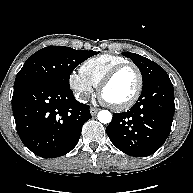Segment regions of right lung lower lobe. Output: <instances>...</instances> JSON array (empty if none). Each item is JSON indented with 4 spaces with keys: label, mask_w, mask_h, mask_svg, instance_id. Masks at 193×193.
<instances>
[{
    "label": "right lung lower lobe",
    "mask_w": 193,
    "mask_h": 193,
    "mask_svg": "<svg viewBox=\"0 0 193 193\" xmlns=\"http://www.w3.org/2000/svg\"><path fill=\"white\" fill-rule=\"evenodd\" d=\"M89 106L79 103L70 88L33 81L14 87L12 109L23 144L43 158L70 152L83 124L91 118Z\"/></svg>",
    "instance_id": "1"
}]
</instances>
